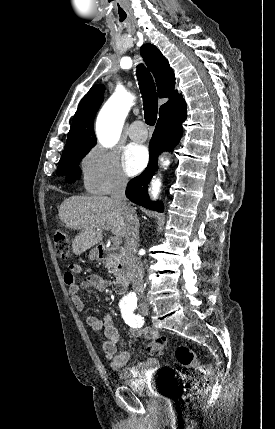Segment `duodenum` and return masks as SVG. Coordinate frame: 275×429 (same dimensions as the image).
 Wrapping results in <instances>:
<instances>
[{"label": "duodenum", "instance_id": "obj_1", "mask_svg": "<svg viewBox=\"0 0 275 429\" xmlns=\"http://www.w3.org/2000/svg\"><path fill=\"white\" fill-rule=\"evenodd\" d=\"M96 252L97 257L100 260L115 259L117 261L118 273L115 280L113 281V290L117 294L124 293L129 282V276L124 267L125 254L123 250L111 248L104 244H99L96 248Z\"/></svg>", "mask_w": 275, "mask_h": 429}]
</instances>
